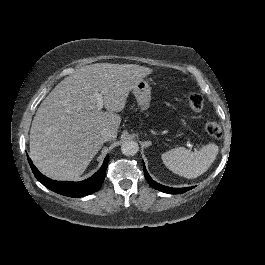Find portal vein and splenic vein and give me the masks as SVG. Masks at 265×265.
Returning <instances> with one entry per match:
<instances>
[{"label": "portal vein and splenic vein", "instance_id": "18ae733b", "mask_svg": "<svg viewBox=\"0 0 265 265\" xmlns=\"http://www.w3.org/2000/svg\"><path fill=\"white\" fill-rule=\"evenodd\" d=\"M92 97L97 99V109L98 110H101L102 109V106H103V98H102V95L98 91H94ZM187 146H191L192 149L195 150V151H199L200 150V147L194 145L189 140V138H187Z\"/></svg>", "mask_w": 265, "mask_h": 265}]
</instances>
